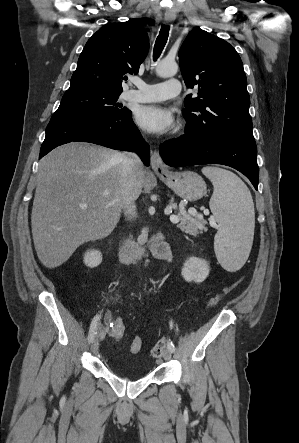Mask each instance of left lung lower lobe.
<instances>
[{
	"label": "left lung lower lobe",
	"mask_w": 299,
	"mask_h": 443,
	"mask_svg": "<svg viewBox=\"0 0 299 443\" xmlns=\"http://www.w3.org/2000/svg\"><path fill=\"white\" fill-rule=\"evenodd\" d=\"M163 161L172 167L222 164L235 168L258 189L257 147L253 136L202 137L185 131L160 145Z\"/></svg>",
	"instance_id": "1"
}]
</instances>
